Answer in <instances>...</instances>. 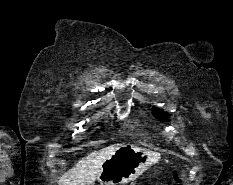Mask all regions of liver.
Segmentation results:
<instances>
[{
    "instance_id": "1",
    "label": "liver",
    "mask_w": 233,
    "mask_h": 185,
    "mask_svg": "<svg viewBox=\"0 0 233 185\" xmlns=\"http://www.w3.org/2000/svg\"><path fill=\"white\" fill-rule=\"evenodd\" d=\"M124 144H113L79 160L59 179V185H94L102 164Z\"/></svg>"
}]
</instances>
